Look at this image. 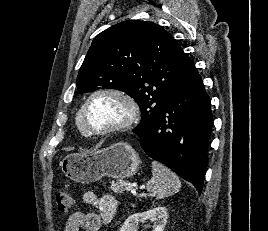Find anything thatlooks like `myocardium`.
Masks as SVG:
<instances>
[{
	"label": "myocardium",
	"mask_w": 268,
	"mask_h": 231,
	"mask_svg": "<svg viewBox=\"0 0 268 231\" xmlns=\"http://www.w3.org/2000/svg\"><path fill=\"white\" fill-rule=\"evenodd\" d=\"M100 95H109V96H113L119 99L126 108V114H125V118L121 122L115 125H111L103 129H94L88 123L87 109H88L90 102L94 98ZM139 116H140V109L136 100L129 93L123 90H120L118 88L107 87V88H100V89L93 91L86 98L81 108L82 122L85 127L86 133L90 136H106V135L123 132L131 128L138 121Z\"/></svg>",
	"instance_id": "f54148a6"
}]
</instances>
